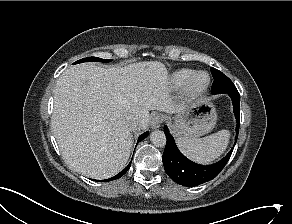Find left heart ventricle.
<instances>
[{
	"label": "left heart ventricle",
	"mask_w": 292,
	"mask_h": 224,
	"mask_svg": "<svg viewBox=\"0 0 292 224\" xmlns=\"http://www.w3.org/2000/svg\"><path fill=\"white\" fill-rule=\"evenodd\" d=\"M206 80H207V77H206V75H201L199 78H198V84L199 85H203L205 82H206Z\"/></svg>",
	"instance_id": "1"
}]
</instances>
